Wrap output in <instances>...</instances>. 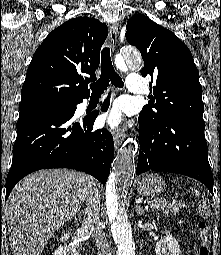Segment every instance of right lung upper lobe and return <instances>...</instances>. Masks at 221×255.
<instances>
[{
	"label": "right lung upper lobe",
	"instance_id": "obj_1",
	"mask_svg": "<svg viewBox=\"0 0 221 255\" xmlns=\"http://www.w3.org/2000/svg\"><path fill=\"white\" fill-rule=\"evenodd\" d=\"M107 35L105 24L86 16L70 19L49 33L28 67L20 109L88 97V83L96 80Z\"/></svg>",
	"mask_w": 221,
	"mask_h": 255
}]
</instances>
